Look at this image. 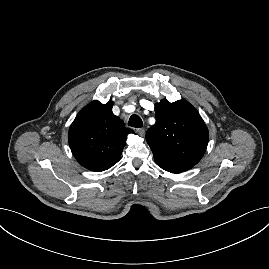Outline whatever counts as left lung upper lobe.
<instances>
[{"label": "left lung upper lobe", "mask_w": 269, "mask_h": 269, "mask_svg": "<svg viewBox=\"0 0 269 269\" xmlns=\"http://www.w3.org/2000/svg\"><path fill=\"white\" fill-rule=\"evenodd\" d=\"M156 123L146 132L159 166L196 165L208 144V129L198 111L186 100L155 104Z\"/></svg>", "instance_id": "obj_1"}]
</instances>
